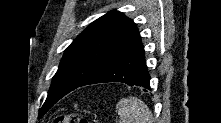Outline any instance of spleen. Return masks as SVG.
<instances>
[{"label":"spleen","mask_w":221,"mask_h":123,"mask_svg":"<svg viewBox=\"0 0 221 123\" xmlns=\"http://www.w3.org/2000/svg\"><path fill=\"white\" fill-rule=\"evenodd\" d=\"M116 108L120 123H153L150 109L137 97L121 99Z\"/></svg>","instance_id":"1"}]
</instances>
